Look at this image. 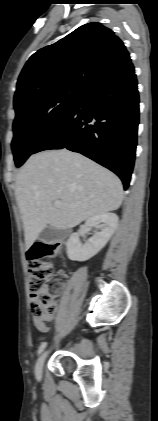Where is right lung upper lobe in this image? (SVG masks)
Returning <instances> with one entry per match:
<instances>
[{
    "mask_svg": "<svg viewBox=\"0 0 158 421\" xmlns=\"http://www.w3.org/2000/svg\"><path fill=\"white\" fill-rule=\"evenodd\" d=\"M126 52L111 29L98 22L82 25L30 57L18 78L14 104L48 89L85 86L98 71Z\"/></svg>",
    "mask_w": 158,
    "mask_h": 421,
    "instance_id": "1",
    "label": "right lung upper lobe"
}]
</instances>
